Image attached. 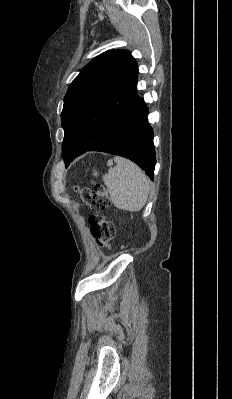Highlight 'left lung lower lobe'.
Wrapping results in <instances>:
<instances>
[{"mask_svg": "<svg viewBox=\"0 0 232 399\" xmlns=\"http://www.w3.org/2000/svg\"><path fill=\"white\" fill-rule=\"evenodd\" d=\"M148 113L147 104L138 96L109 134L89 151L126 157L139 165L153 180L156 156Z\"/></svg>", "mask_w": 232, "mask_h": 399, "instance_id": "0a47b994", "label": "left lung lower lobe"}]
</instances>
